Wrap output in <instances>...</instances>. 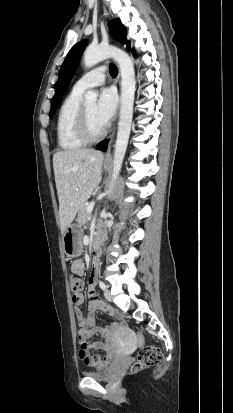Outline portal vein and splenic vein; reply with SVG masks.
<instances>
[{"mask_svg": "<svg viewBox=\"0 0 233 413\" xmlns=\"http://www.w3.org/2000/svg\"><path fill=\"white\" fill-rule=\"evenodd\" d=\"M94 202H92L90 205H88V207H87V211L88 212H91L92 210H93V208H94Z\"/></svg>", "mask_w": 233, "mask_h": 413, "instance_id": "1", "label": "portal vein and splenic vein"}]
</instances>
